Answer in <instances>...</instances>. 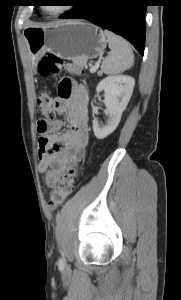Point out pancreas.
Listing matches in <instances>:
<instances>
[{"instance_id": "obj_1", "label": "pancreas", "mask_w": 181, "mask_h": 300, "mask_svg": "<svg viewBox=\"0 0 181 300\" xmlns=\"http://www.w3.org/2000/svg\"><path fill=\"white\" fill-rule=\"evenodd\" d=\"M73 63H74V65H76V66H78V67H80V68L84 67V65H85V64H83V63L80 62V61H73Z\"/></svg>"}]
</instances>
